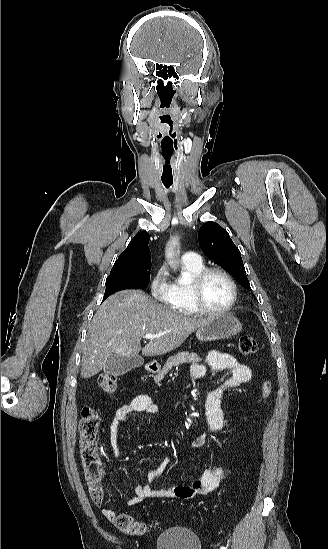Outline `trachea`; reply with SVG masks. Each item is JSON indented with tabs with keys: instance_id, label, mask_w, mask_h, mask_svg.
I'll return each mask as SVG.
<instances>
[{
	"instance_id": "1",
	"label": "trachea",
	"mask_w": 328,
	"mask_h": 549,
	"mask_svg": "<svg viewBox=\"0 0 328 549\" xmlns=\"http://www.w3.org/2000/svg\"><path fill=\"white\" fill-rule=\"evenodd\" d=\"M162 182L166 188H169L173 183V181H166V180H162Z\"/></svg>"
}]
</instances>
